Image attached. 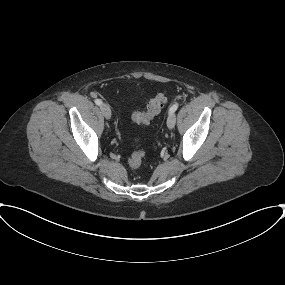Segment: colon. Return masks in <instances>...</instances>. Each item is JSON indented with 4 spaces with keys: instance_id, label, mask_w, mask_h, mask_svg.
<instances>
[{
    "instance_id": "obj_1",
    "label": "colon",
    "mask_w": 285,
    "mask_h": 285,
    "mask_svg": "<svg viewBox=\"0 0 285 285\" xmlns=\"http://www.w3.org/2000/svg\"><path fill=\"white\" fill-rule=\"evenodd\" d=\"M167 101V95L164 92L156 94L150 99L145 112H135L132 115V120L137 124H149L156 115L160 113ZM144 152L140 148H136L131 154L128 164L131 169H138L143 162Z\"/></svg>"
}]
</instances>
